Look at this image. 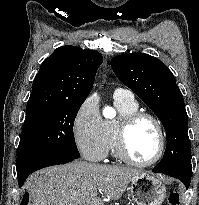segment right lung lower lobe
Here are the masks:
<instances>
[{
	"label": "right lung lower lobe",
	"mask_w": 199,
	"mask_h": 205,
	"mask_svg": "<svg viewBox=\"0 0 199 205\" xmlns=\"http://www.w3.org/2000/svg\"><path fill=\"white\" fill-rule=\"evenodd\" d=\"M73 160H74L73 158L56 156V157H50V158H46V159H43L41 161H38V162L28 166L20 173H17L19 187L23 186L26 178L34 171H37L39 169H42V168H45L48 166L68 163V162H71Z\"/></svg>",
	"instance_id": "right-lung-lower-lobe-1"
}]
</instances>
